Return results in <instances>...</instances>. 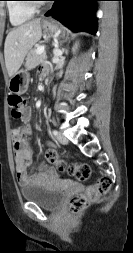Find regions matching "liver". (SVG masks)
<instances>
[{
    "mask_svg": "<svg viewBox=\"0 0 133 253\" xmlns=\"http://www.w3.org/2000/svg\"><path fill=\"white\" fill-rule=\"evenodd\" d=\"M42 36L40 19L27 22L12 29L5 40L4 56L9 77L21 67L28 51Z\"/></svg>",
    "mask_w": 133,
    "mask_h": 253,
    "instance_id": "liver-1",
    "label": "liver"
}]
</instances>
